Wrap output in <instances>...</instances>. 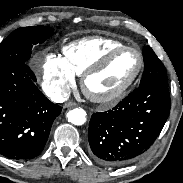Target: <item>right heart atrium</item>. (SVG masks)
Here are the masks:
<instances>
[{
	"label": "right heart atrium",
	"instance_id": "obj_1",
	"mask_svg": "<svg viewBox=\"0 0 183 183\" xmlns=\"http://www.w3.org/2000/svg\"><path fill=\"white\" fill-rule=\"evenodd\" d=\"M46 93L55 100H63L75 85V74L66 66L61 56L42 54L35 59Z\"/></svg>",
	"mask_w": 183,
	"mask_h": 183
}]
</instances>
